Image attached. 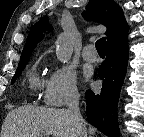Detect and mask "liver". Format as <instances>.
I'll list each match as a JSON object with an SVG mask.
<instances>
[{
	"mask_svg": "<svg viewBox=\"0 0 144 137\" xmlns=\"http://www.w3.org/2000/svg\"><path fill=\"white\" fill-rule=\"evenodd\" d=\"M96 129L89 127L94 135ZM76 137L68 109L24 106L11 110L2 125L1 137ZM87 135V134H86Z\"/></svg>",
	"mask_w": 144,
	"mask_h": 137,
	"instance_id": "6515ba94",
	"label": "liver"
}]
</instances>
